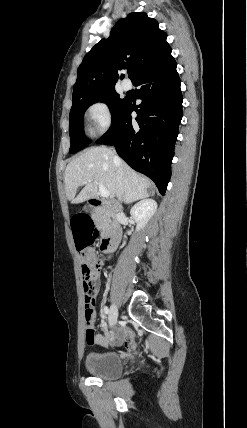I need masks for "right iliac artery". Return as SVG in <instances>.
I'll return each mask as SVG.
<instances>
[{
    "label": "right iliac artery",
    "instance_id": "right-iliac-artery-1",
    "mask_svg": "<svg viewBox=\"0 0 247 428\" xmlns=\"http://www.w3.org/2000/svg\"><path fill=\"white\" fill-rule=\"evenodd\" d=\"M103 310H104V313H105V314H108V313H109V309H108V307H107V306H105Z\"/></svg>",
    "mask_w": 247,
    "mask_h": 428
}]
</instances>
